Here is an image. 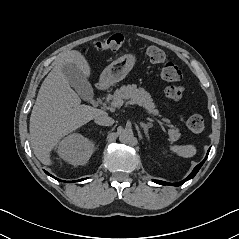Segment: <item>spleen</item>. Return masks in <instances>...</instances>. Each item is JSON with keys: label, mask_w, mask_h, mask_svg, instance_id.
Segmentation results:
<instances>
[{"label": "spleen", "mask_w": 239, "mask_h": 239, "mask_svg": "<svg viewBox=\"0 0 239 239\" xmlns=\"http://www.w3.org/2000/svg\"><path fill=\"white\" fill-rule=\"evenodd\" d=\"M169 149L170 151L178 154L179 156L186 158L194 156L197 152L196 147L194 145H170Z\"/></svg>", "instance_id": "spleen-1"}]
</instances>
